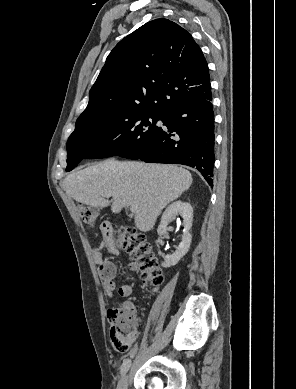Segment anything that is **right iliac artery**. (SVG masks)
<instances>
[{
	"label": "right iliac artery",
	"instance_id": "1",
	"mask_svg": "<svg viewBox=\"0 0 296 389\" xmlns=\"http://www.w3.org/2000/svg\"><path fill=\"white\" fill-rule=\"evenodd\" d=\"M134 355H135V353L133 352L131 354V357H133ZM130 366H131V360L130 359H125L123 361L122 366H121V374L122 375L125 374L129 370Z\"/></svg>",
	"mask_w": 296,
	"mask_h": 389
}]
</instances>
